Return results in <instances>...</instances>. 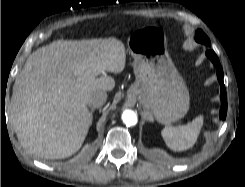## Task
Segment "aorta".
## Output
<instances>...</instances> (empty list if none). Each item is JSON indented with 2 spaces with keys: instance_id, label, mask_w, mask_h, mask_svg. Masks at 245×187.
<instances>
[{
  "instance_id": "obj_1",
  "label": "aorta",
  "mask_w": 245,
  "mask_h": 187,
  "mask_svg": "<svg viewBox=\"0 0 245 187\" xmlns=\"http://www.w3.org/2000/svg\"><path fill=\"white\" fill-rule=\"evenodd\" d=\"M122 121L126 126H134L137 124V114L132 110H125L122 114Z\"/></svg>"
}]
</instances>
